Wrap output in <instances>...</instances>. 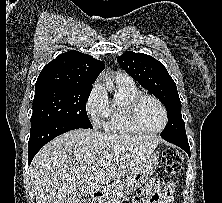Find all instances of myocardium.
<instances>
[{"label":"myocardium","mask_w":222,"mask_h":203,"mask_svg":"<svg viewBox=\"0 0 222 203\" xmlns=\"http://www.w3.org/2000/svg\"><path fill=\"white\" fill-rule=\"evenodd\" d=\"M144 99L153 100L161 108L162 113H163V124L161 125L160 128L155 129V130H150V129L145 128L141 124L138 117V107ZM127 112H128L129 120L132 123V125L136 129H138L140 132H143V133L158 134L162 132L168 124V112H167L166 107L156 96L151 95V94L140 93L139 95L133 97L128 103Z\"/></svg>","instance_id":"myocardium-1"}]
</instances>
